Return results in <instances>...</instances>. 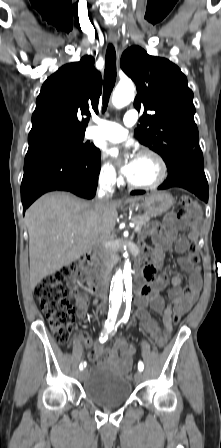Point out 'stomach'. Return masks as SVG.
Masks as SVG:
<instances>
[{
  "instance_id": "0dacf381",
  "label": "stomach",
  "mask_w": 221,
  "mask_h": 448,
  "mask_svg": "<svg viewBox=\"0 0 221 448\" xmlns=\"http://www.w3.org/2000/svg\"><path fill=\"white\" fill-rule=\"evenodd\" d=\"M174 204L172 195L165 191H158L140 197L133 202L131 208L141 207L148 215L160 216Z\"/></svg>"
}]
</instances>
